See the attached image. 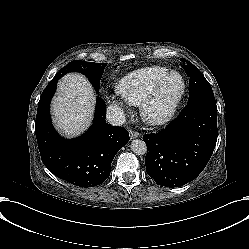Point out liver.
<instances>
[{"label":"liver","mask_w":249,"mask_h":249,"mask_svg":"<svg viewBox=\"0 0 249 249\" xmlns=\"http://www.w3.org/2000/svg\"><path fill=\"white\" fill-rule=\"evenodd\" d=\"M57 86L51 103L55 127L66 137L78 136L92 123L96 103L94 90L81 74H68Z\"/></svg>","instance_id":"liver-1"}]
</instances>
